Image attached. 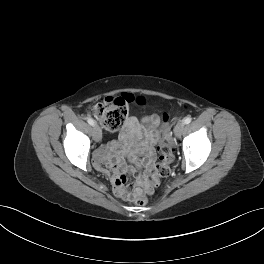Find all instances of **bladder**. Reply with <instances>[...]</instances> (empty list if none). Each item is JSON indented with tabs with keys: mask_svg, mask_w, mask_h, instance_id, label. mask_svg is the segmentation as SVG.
Wrapping results in <instances>:
<instances>
[{
	"mask_svg": "<svg viewBox=\"0 0 264 264\" xmlns=\"http://www.w3.org/2000/svg\"><path fill=\"white\" fill-rule=\"evenodd\" d=\"M148 129L154 132L157 136H161L163 130L166 128V120L157 119L153 123H146L145 125Z\"/></svg>",
	"mask_w": 264,
	"mask_h": 264,
	"instance_id": "31cf9c89",
	"label": "bladder"
}]
</instances>
